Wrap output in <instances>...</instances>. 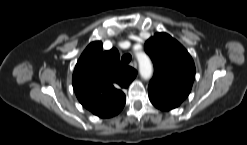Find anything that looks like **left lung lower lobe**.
I'll return each instance as SVG.
<instances>
[{
  "instance_id": "left-lung-lower-lobe-1",
  "label": "left lung lower lobe",
  "mask_w": 247,
  "mask_h": 145,
  "mask_svg": "<svg viewBox=\"0 0 247 145\" xmlns=\"http://www.w3.org/2000/svg\"><path fill=\"white\" fill-rule=\"evenodd\" d=\"M149 99L158 109L169 111L178 107L183 99L166 92L148 87Z\"/></svg>"
}]
</instances>
